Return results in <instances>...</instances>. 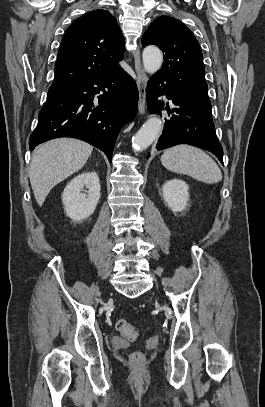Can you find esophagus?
Listing matches in <instances>:
<instances>
[{
    "instance_id": "34e87169",
    "label": "esophagus",
    "mask_w": 265,
    "mask_h": 407,
    "mask_svg": "<svg viewBox=\"0 0 265 407\" xmlns=\"http://www.w3.org/2000/svg\"><path fill=\"white\" fill-rule=\"evenodd\" d=\"M133 55H134L135 71L137 74V87H138V93H139L138 111L140 114H144L145 108H146V88H147L148 77L142 67L139 47H137L134 50Z\"/></svg>"
}]
</instances>
